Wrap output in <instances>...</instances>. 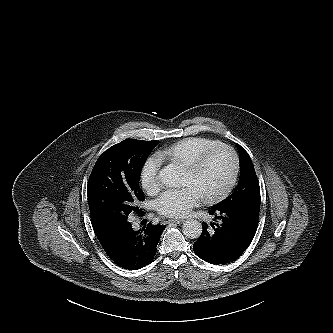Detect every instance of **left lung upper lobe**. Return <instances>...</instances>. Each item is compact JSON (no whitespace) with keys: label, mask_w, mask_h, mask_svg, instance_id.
<instances>
[{"label":"left lung upper lobe","mask_w":333,"mask_h":333,"mask_svg":"<svg viewBox=\"0 0 333 333\" xmlns=\"http://www.w3.org/2000/svg\"><path fill=\"white\" fill-rule=\"evenodd\" d=\"M240 151V179L234 192L211 209L248 210L260 208V187L249 154L238 145Z\"/></svg>","instance_id":"1"}]
</instances>
